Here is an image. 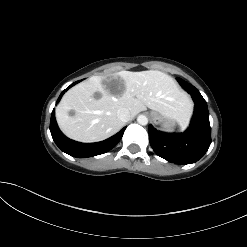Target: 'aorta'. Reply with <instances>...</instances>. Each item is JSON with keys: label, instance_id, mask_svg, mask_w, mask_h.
<instances>
[{"label": "aorta", "instance_id": "obj_1", "mask_svg": "<svg viewBox=\"0 0 247 247\" xmlns=\"http://www.w3.org/2000/svg\"><path fill=\"white\" fill-rule=\"evenodd\" d=\"M137 122L140 124V125H147L148 123V118L145 116V115H139L137 117Z\"/></svg>", "mask_w": 247, "mask_h": 247}]
</instances>
